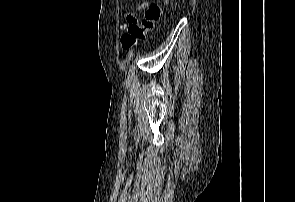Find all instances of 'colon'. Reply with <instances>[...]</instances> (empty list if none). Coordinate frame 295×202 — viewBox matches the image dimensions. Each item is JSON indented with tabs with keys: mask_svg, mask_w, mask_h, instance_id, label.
<instances>
[{
	"mask_svg": "<svg viewBox=\"0 0 295 202\" xmlns=\"http://www.w3.org/2000/svg\"><path fill=\"white\" fill-rule=\"evenodd\" d=\"M163 11L162 0L150 5L140 24L130 23L127 31L121 36L120 43L124 49L132 48L139 40L144 38L146 32L152 30L160 19Z\"/></svg>",
	"mask_w": 295,
	"mask_h": 202,
	"instance_id": "1",
	"label": "colon"
}]
</instances>
